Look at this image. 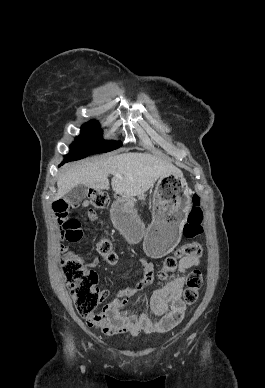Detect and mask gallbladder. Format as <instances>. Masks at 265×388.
I'll return each mask as SVG.
<instances>
[{
	"label": "gallbladder",
	"mask_w": 265,
	"mask_h": 388,
	"mask_svg": "<svg viewBox=\"0 0 265 388\" xmlns=\"http://www.w3.org/2000/svg\"><path fill=\"white\" fill-rule=\"evenodd\" d=\"M88 194V188L87 186H83V184H78V186H75V188H72L66 196H64L65 202H68V204H75V206H78L84 198H86Z\"/></svg>",
	"instance_id": "obj_1"
}]
</instances>
